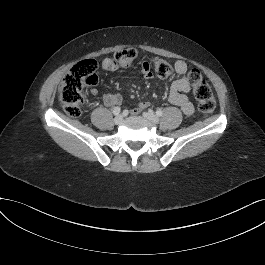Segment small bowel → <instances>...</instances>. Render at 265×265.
Wrapping results in <instances>:
<instances>
[{
    "instance_id": "small-bowel-1",
    "label": "small bowel",
    "mask_w": 265,
    "mask_h": 265,
    "mask_svg": "<svg viewBox=\"0 0 265 265\" xmlns=\"http://www.w3.org/2000/svg\"><path fill=\"white\" fill-rule=\"evenodd\" d=\"M102 68L107 71H115L118 69V65H116L112 59L106 58L102 61ZM174 68L177 78L170 85L168 94L169 101L172 104L178 106L186 116H191L194 113V106L188 98V94L191 92V86L188 79L185 78V74L188 70L187 63L182 60H178L175 63ZM140 70L145 80H150L153 78V72L151 70L150 64L147 61H144L141 64ZM88 94L90 96H96L98 94V90L96 88H91L88 91ZM121 102L122 95L119 93H107L103 96V103L108 107L119 105ZM147 107L148 103L141 102L135 108H133L131 112L133 114H137Z\"/></svg>"
}]
</instances>
